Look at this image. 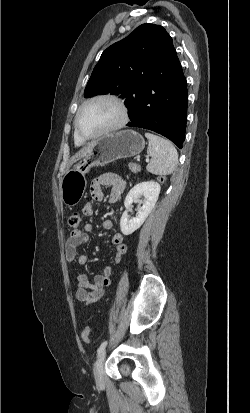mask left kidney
<instances>
[{
  "label": "left kidney",
  "instance_id": "5707ae66",
  "mask_svg": "<svg viewBox=\"0 0 250 413\" xmlns=\"http://www.w3.org/2000/svg\"><path fill=\"white\" fill-rule=\"evenodd\" d=\"M161 187L157 182L146 181L135 185L127 194L124 205L126 211L122 214L120 219V229L124 235H130L144 223L152 209L154 208ZM141 195L144 196L142 206L137 207V214L133 218H129L127 209L132 203L137 200Z\"/></svg>",
  "mask_w": 250,
  "mask_h": 413
}]
</instances>
